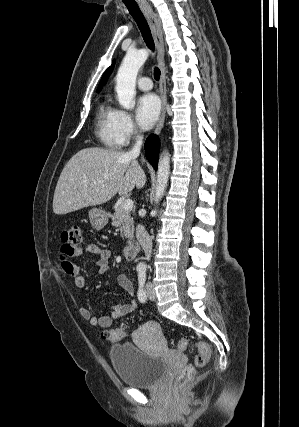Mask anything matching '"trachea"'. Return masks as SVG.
Returning <instances> with one entry per match:
<instances>
[{
	"label": "trachea",
	"mask_w": 299,
	"mask_h": 427,
	"mask_svg": "<svg viewBox=\"0 0 299 427\" xmlns=\"http://www.w3.org/2000/svg\"><path fill=\"white\" fill-rule=\"evenodd\" d=\"M126 7L131 16L134 18L135 22L137 23L146 45L150 50L154 51V41L152 38L151 30L140 8L137 4H126ZM160 74V70L156 67L154 69V78L156 81L159 80Z\"/></svg>",
	"instance_id": "1"
}]
</instances>
